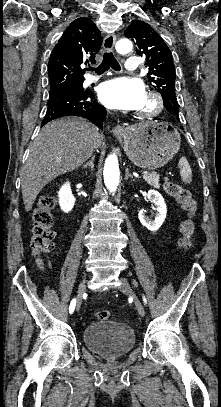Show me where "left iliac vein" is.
<instances>
[{"label":"left iliac vein","instance_id":"1","mask_svg":"<svg viewBox=\"0 0 221 407\" xmlns=\"http://www.w3.org/2000/svg\"><path fill=\"white\" fill-rule=\"evenodd\" d=\"M119 280L121 281V284L119 285L120 291L128 294L130 297L133 298L134 303H135V307H136L139 315L141 317H144L145 316L144 307H143L141 301L138 299V297L134 293V291L132 290V288L130 287L129 283L122 277H120Z\"/></svg>","mask_w":221,"mask_h":407}]
</instances>
